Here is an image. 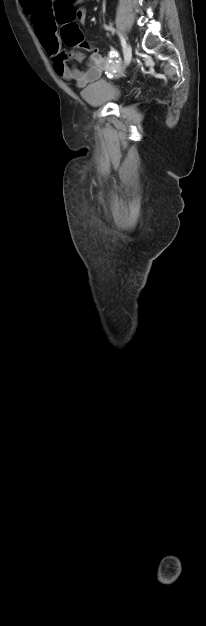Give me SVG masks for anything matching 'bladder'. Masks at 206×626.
Segmentation results:
<instances>
[{
    "instance_id": "31cf9c89",
    "label": "bladder",
    "mask_w": 206,
    "mask_h": 626,
    "mask_svg": "<svg viewBox=\"0 0 206 626\" xmlns=\"http://www.w3.org/2000/svg\"><path fill=\"white\" fill-rule=\"evenodd\" d=\"M83 100L93 106L117 102L121 96V89L112 82L101 79L89 84L82 92Z\"/></svg>"
}]
</instances>
